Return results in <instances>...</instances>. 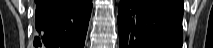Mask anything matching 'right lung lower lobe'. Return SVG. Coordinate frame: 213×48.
I'll return each instance as SVG.
<instances>
[{
  "instance_id": "98d812e1",
  "label": "right lung lower lobe",
  "mask_w": 213,
  "mask_h": 48,
  "mask_svg": "<svg viewBox=\"0 0 213 48\" xmlns=\"http://www.w3.org/2000/svg\"><path fill=\"white\" fill-rule=\"evenodd\" d=\"M35 46L83 48L92 0H36Z\"/></svg>"
}]
</instances>
